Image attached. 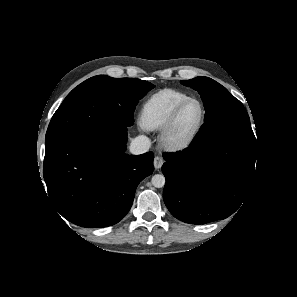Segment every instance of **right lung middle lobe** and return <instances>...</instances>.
I'll list each match as a JSON object with an SVG mask.
<instances>
[{"mask_svg":"<svg viewBox=\"0 0 297 297\" xmlns=\"http://www.w3.org/2000/svg\"><path fill=\"white\" fill-rule=\"evenodd\" d=\"M154 88L134 78L98 75L75 87L53 115L45 137L46 150L81 133L112 126H131L139 101Z\"/></svg>","mask_w":297,"mask_h":297,"instance_id":"obj_1","label":"right lung middle lobe"}]
</instances>
